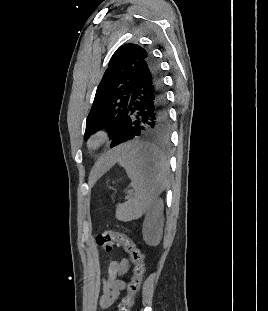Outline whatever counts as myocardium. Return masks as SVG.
<instances>
[{
    "label": "myocardium",
    "mask_w": 268,
    "mask_h": 311,
    "mask_svg": "<svg viewBox=\"0 0 268 311\" xmlns=\"http://www.w3.org/2000/svg\"><path fill=\"white\" fill-rule=\"evenodd\" d=\"M107 138V131L104 129H100L91 135L88 140L87 146L90 150H97L106 142Z\"/></svg>",
    "instance_id": "1"
}]
</instances>
